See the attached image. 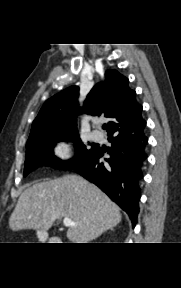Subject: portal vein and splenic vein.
<instances>
[{"label": "portal vein and splenic vein", "instance_id": "18ae733b", "mask_svg": "<svg viewBox=\"0 0 181 288\" xmlns=\"http://www.w3.org/2000/svg\"><path fill=\"white\" fill-rule=\"evenodd\" d=\"M63 224H64V226H66V227L76 226V224H75L70 218H68V217H65V218L63 219Z\"/></svg>", "mask_w": 181, "mask_h": 288}]
</instances>
